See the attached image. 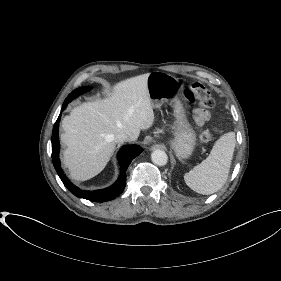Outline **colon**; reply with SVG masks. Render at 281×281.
Instances as JSON below:
<instances>
[{"label":"colon","mask_w":281,"mask_h":281,"mask_svg":"<svg viewBox=\"0 0 281 281\" xmlns=\"http://www.w3.org/2000/svg\"><path fill=\"white\" fill-rule=\"evenodd\" d=\"M185 96L187 100L197 103L202 110H209L214 107V100L208 89L200 84L193 83L187 89ZM216 133V128H208L201 133L200 139L202 142H210Z\"/></svg>","instance_id":"obj_1"}]
</instances>
